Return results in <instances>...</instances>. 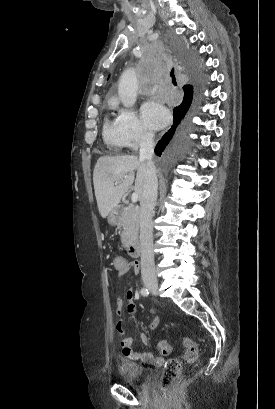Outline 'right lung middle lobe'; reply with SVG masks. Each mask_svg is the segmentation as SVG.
Here are the masks:
<instances>
[{
	"mask_svg": "<svg viewBox=\"0 0 275 409\" xmlns=\"http://www.w3.org/2000/svg\"><path fill=\"white\" fill-rule=\"evenodd\" d=\"M172 51H184L188 45L184 42H172L170 45ZM193 64H197L201 56L199 50H192L190 53ZM189 72H193L195 67L189 65L187 67ZM193 95L184 103L174 108V121L171 128L162 139L158 142L155 153L158 156H163L167 160H153L152 168L161 169L163 173H171L173 167L179 162L178 159L186 155L190 148V132H191V116L194 110V104L191 107Z\"/></svg>",
	"mask_w": 275,
	"mask_h": 409,
	"instance_id": "right-lung-middle-lobe-1",
	"label": "right lung middle lobe"
}]
</instances>
